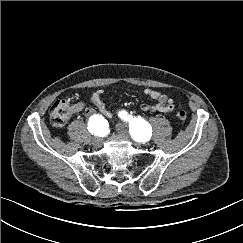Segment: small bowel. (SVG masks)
I'll return each mask as SVG.
<instances>
[{
  "instance_id": "obj_1",
  "label": "small bowel",
  "mask_w": 243,
  "mask_h": 243,
  "mask_svg": "<svg viewBox=\"0 0 243 243\" xmlns=\"http://www.w3.org/2000/svg\"><path fill=\"white\" fill-rule=\"evenodd\" d=\"M144 93L146 96H148L151 99L156 100L155 104H149V103H142L140 106V109L142 111H151V112H155V111H161V112H169L172 111L175 108V104L174 101L169 98L166 94L157 91L155 89L152 88H146L144 90ZM103 94L104 91L103 90H98L95 93H93L92 97H91V102L93 103V105L96 107V109L98 110V112L105 116V117H111L112 114L111 112L108 110V108L106 107L104 101H103ZM84 108V103L83 102H79L74 106V111H80Z\"/></svg>"
}]
</instances>
